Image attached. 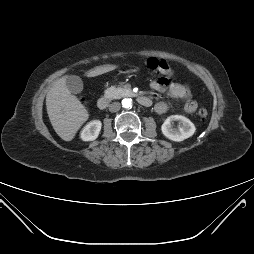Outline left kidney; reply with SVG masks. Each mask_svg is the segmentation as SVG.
Returning a JSON list of instances; mask_svg holds the SVG:
<instances>
[{"label": "left kidney", "mask_w": 254, "mask_h": 254, "mask_svg": "<svg viewBox=\"0 0 254 254\" xmlns=\"http://www.w3.org/2000/svg\"><path fill=\"white\" fill-rule=\"evenodd\" d=\"M173 121H179L178 127H173ZM161 130L168 139L180 142L191 137L195 133L196 128L188 118L182 115H172L164 121Z\"/></svg>", "instance_id": "1"}]
</instances>
